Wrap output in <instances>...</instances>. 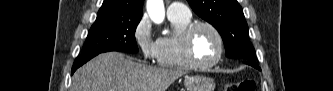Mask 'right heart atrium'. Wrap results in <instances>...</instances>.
I'll return each instance as SVG.
<instances>
[{
  "label": "right heart atrium",
  "mask_w": 333,
  "mask_h": 91,
  "mask_svg": "<svg viewBox=\"0 0 333 91\" xmlns=\"http://www.w3.org/2000/svg\"><path fill=\"white\" fill-rule=\"evenodd\" d=\"M133 39L146 60H154L157 52V40L153 38L149 19L143 16L133 28Z\"/></svg>",
  "instance_id": "1"
}]
</instances>
